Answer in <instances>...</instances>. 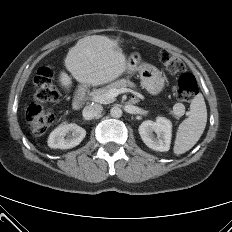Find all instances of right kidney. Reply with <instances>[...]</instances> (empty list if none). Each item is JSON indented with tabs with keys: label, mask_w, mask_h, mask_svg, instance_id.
Wrapping results in <instances>:
<instances>
[{
	"label": "right kidney",
	"mask_w": 232,
	"mask_h": 232,
	"mask_svg": "<svg viewBox=\"0 0 232 232\" xmlns=\"http://www.w3.org/2000/svg\"><path fill=\"white\" fill-rule=\"evenodd\" d=\"M86 131L77 124H64L51 132L48 146L53 149H70L80 144Z\"/></svg>",
	"instance_id": "right-kidney-1"
}]
</instances>
